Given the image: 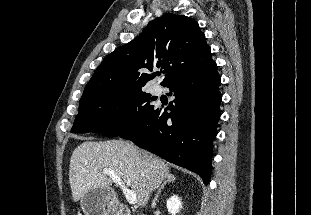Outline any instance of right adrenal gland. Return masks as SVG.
Here are the masks:
<instances>
[{"mask_svg":"<svg viewBox=\"0 0 311 215\" xmlns=\"http://www.w3.org/2000/svg\"><path fill=\"white\" fill-rule=\"evenodd\" d=\"M176 178L174 175L170 174L168 177H167V180L164 181V183L161 185V187L159 188L158 190V193L156 194L154 200H153V203H152V207H155L156 205V202L158 200V197L159 195L161 194L162 190L164 189V187L166 186L167 183H171V182H175Z\"/></svg>","mask_w":311,"mask_h":215,"instance_id":"2a0ac1e0","label":"right adrenal gland"}]
</instances>
